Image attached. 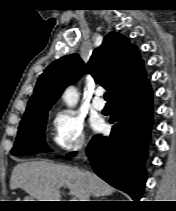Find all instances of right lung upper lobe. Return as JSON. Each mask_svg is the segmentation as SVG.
Masks as SVG:
<instances>
[{"label": "right lung upper lobe", "mask_w": 176, "mask_h": 211, "mask_svg": "<svg viewBox=\"0 0 176 211\" xmlns=\"http://www.w3.org/2000/svg\"><path fill=\"white\" fill-rule=\"evenodd\" d=\"M85 71L112 92L113 102L133 95L148 82L137 47L120 33L110 32L86 66L78 54L51 63L39 77L23 118L50 109L63 90Z\"/></svg>", "instance_id": "1"}]
</instances>
